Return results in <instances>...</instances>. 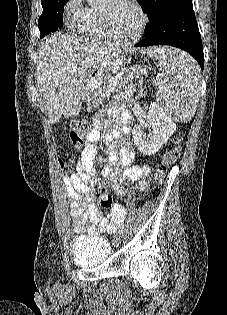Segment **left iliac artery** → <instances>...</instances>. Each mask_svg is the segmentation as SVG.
<instances>
[{
    "label": "left iliac artery",
    "instance_id": "1",
    "mask_svg": "<svg viewBox=\"0 0 227 315\" xmlns=\"http://www.w3.org/2000/svg\"><path fill=\"white\" fill-rule=\"evenodd\" d=\"M118 233L120 235L124 233V226L123 225L119 228Z\"/></svg>",
    "mask_w": 227,
    "mask_h": 315
}]
</instances>
